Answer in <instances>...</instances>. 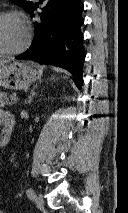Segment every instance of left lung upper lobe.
Here are the masks:
<instances>
[{
	"label": "left lung upper lobe",
	"instance_id": "5c2ea615",
	"mask_svg": "<svg viewBox=\"0 0 128 213\" xmlns=\"http://www.w3.org/2000/svg\"><path fill=\"white\" fill-rule=\"evenodd\" d=\"M12 1H14L17 5L21 6L22 8H24L28 12L34 5L32 2H28V1H25V0H12Z\"/></svg>",
	"mask_w": 128,
	"mask_h": 213
}]
</instances>
